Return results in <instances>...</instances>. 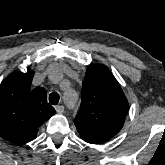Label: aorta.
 Instances as JSON below:
<instances>
[{"label":"aorta","instance_id":"obj_1","mask_svg":"<svg viewBox=\"0 0 165 165\" xmlns=\"http://www.w3.org/2000/svg\"><path fill=\"white\" fill-rule=\"evenodd\" d=\"M50 77L52 79H54V78L63 79V73H62V71L60 69H54L52 71ZM67 97H68V99H70L71 101H73V103L75 104V106H77V104H78V95H77V93H75L73 91H70L67 94Z\"/></svg>","mask_w":165,"mask_h":165}]
</instances>
